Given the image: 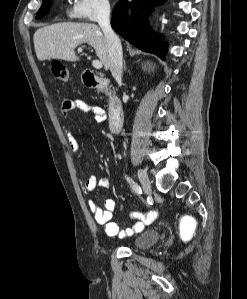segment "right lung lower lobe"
Returning a JSON list of instances; mask_svg holds the SVG:
<instances>
[{
	"mask_svg": "<svg viewBox=\"0 0 247 299\" xmlns=\"http://www.w3.org/2000/svg\"><path fill=\"white\" fill-rule=\"evenodd\" d=\"M162 2L164 0H133L130 3L122 0L115 6L111 24L119 35L134 46L164 59L166 44L153 34L147 21L154 6ZM129 7L132 9L130 18L126 15Z\"/></svg>",
	"mask_w": 247,
	"mask_h": 299,
	"instance_id": "right-lung-lower-lobe-1",
	"label": "right lung lower lobe"
}]
</instances>
